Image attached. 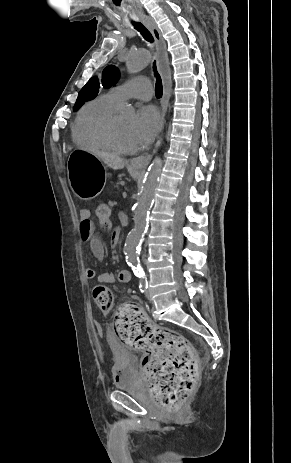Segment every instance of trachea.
Masks as SVG:
<instances>
[{
  "mask_svg": "<svg viewBox=\"0 0 291 463\" xmlns=\"http://www.w3.org/2000/svg\"><path fill=\"white\" fill-rule=\"evenodd\" d=\"M134 25V28L136 30H138L141 35L144 37L145 40H147L148 42H154V39H153V36L151 35V33L148 31V29H146L141 23H133ZM153 69H154V74L156 76V85H155V94L157 96V98H160L162 96V93H163V89H162V80H161V77L156 69V64L154 62L153 64Z\"/></svg>",
  "mask_w": 291,
  "mask_h": 463,
  "instance_id": "trachea-1",
  "label": "trachea"
}]
</instances>
